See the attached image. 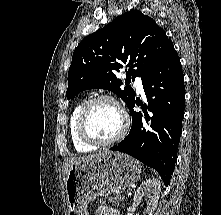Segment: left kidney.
Returning a JSON list of instances; mask_svg holds the SVG:
<instances>
[{
    "mask_svg": "<svg viewBox=\"0 0 221 215\" xmlns=\"http://www.w3.org/2000/svg\"><path fill=\"white\" fill-rule=\"evenodd\" d=\"M160 191L161 182L157 178H149L138 187L134 194L133 201L139 204L143 197L148 198L144 215H153L158 205Z\"/></svg>",
    "mask_w": 221,
    "mask_h": 215,
    "instance_id": "1",
    "label": "left kidney"
}]
</instances>
